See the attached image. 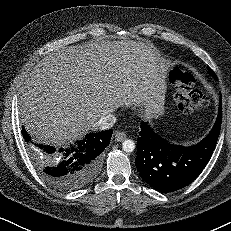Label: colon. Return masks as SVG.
I'll list each match as a JSON object with an SVG mask.
<instances>
[{"instance_id":"obj_1","label":"colon","mask_w":231,"mask_h":231,"mask_svg":"<svg viewBox=\"0 0 231 231\" xmlns=\"http://www.w3.org/2000/svg\"><path fill=\"white\" fill-rule=\"evenodd\" d=\"M170 79L175 87V100L182 112H197L209 105V99L205 95L193 90L196 78L192 72L173 68Z\"/></svg>"}]
</instances>
